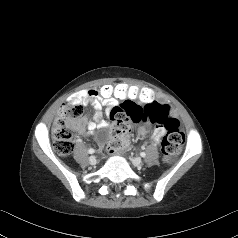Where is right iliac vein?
Here are the masks:
<instances>
[{"label": "right iliac vein", "instance_id": "obj_1", "mask_svg": "<svg viewBox=\"0 0 238 238\" xmlns=\"http://www.w3.org/2000/svg\"><path fill=\"white\" fill-rule=\"evenodd\" d=\"M89 163H90L91 165L96 164V157H95V156H90V157H89Z\"/></svg>", "mask_w": 238, "mask_h": 238}]
</instances>
